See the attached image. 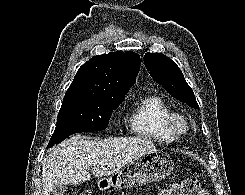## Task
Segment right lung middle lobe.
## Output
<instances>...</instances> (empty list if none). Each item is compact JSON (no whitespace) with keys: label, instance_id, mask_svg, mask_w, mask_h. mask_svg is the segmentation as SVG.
I'll list each match as a JSON object with an SVG mask.
<instances>
[{"label":"right lung middle lobe","instance_id":"dd1d6c3e","mask_svg":"<svg viewBox=\"0 0 245 195\" xmlns=\"http://www.w3.org/2000/svg\"><path fill=\"white\" fill-rule=\"evenodd\" d=\"M122 101L123 99L91 94L65 95L48 147L60 143L74 133L106 129L112 111L117 109Z\"/></svg>","mask_w":245,"mask_h":195}]
</instances>
